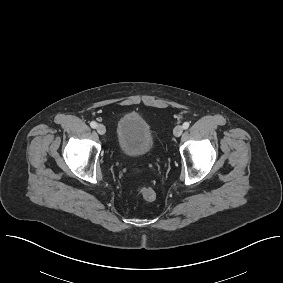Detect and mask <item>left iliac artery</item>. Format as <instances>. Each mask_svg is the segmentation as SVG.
<instances>
[{
	"mask_svg": "<svg viewBox=\"0 0 283 283\" xmlns=\"http://www.w3.org/2000/svg\"><path fill=\"white\" fill-rule=\"evenodd\" d=\"M189 125H190L189 122H184V123H183V128H184V129H188V128H189Z\"/></svg>",
	"mask_w": 283,
	"mask_h": 283,
	"instance_id": "44dca946",
	"label": "left iliac artery"
}]
</instances>
